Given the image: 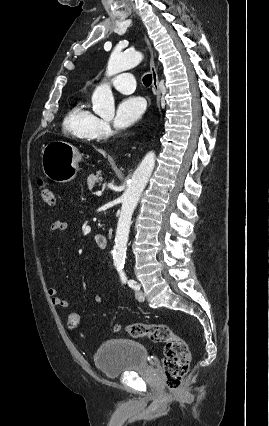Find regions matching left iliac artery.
<instances>
[{"mask_svg":"<svg viewBox=\"0 0 269 426\" xmlns=\"http://www.w3.org/2000/svg\"><path fill=\"white\" fill-rule=\"evenodd\" d=\"M128 284H129V286H130L131 288H133V289H136V290H139V289H140V288H139V286L135 284V281H134V280H130V281L128 282Z\"/></svg>","mask_w":269,"mask_h":426,"instance_id":"left-iliac-artery-1","label":"left iliac artery"}]
</instances>
